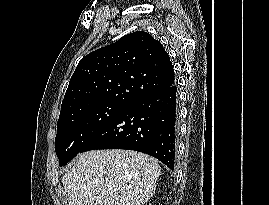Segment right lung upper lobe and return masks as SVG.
<instances>
[{
    "instance_id": "obj_1",
    "label": "right lung upper lobe",
    "mask_w": 269,
    "mask_h": 205,
    "mask_svg": "<svg viewBox=\"0 0 269 205\" xmlns=\"http://www.w3.org/2000/svg\"><path fill=\"white\" fill-rule=\"evenodd\" d=\"M175 84L162 44L147 32H134L81 59L65 93L60 118L102 102L132 104Z\"/></svg>"
}]
</instances>
